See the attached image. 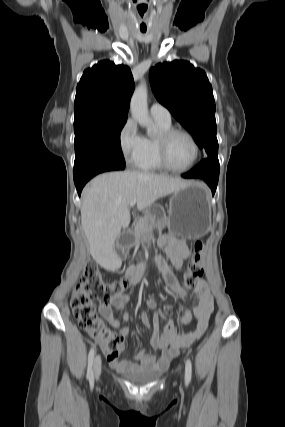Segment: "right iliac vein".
Listing matches in <instances>:
<instances>
[{"label":"right iliac vein","mask_w":285,"mask_h":427,"mask_svg":"<svg viewBox=\"0 0 285 427\" xmlns=\"http://www.w3.org/2000/svg\"><path fill=\"white\" fill-rule=\"evenodd\" d=\"M93 368H94V375H95V377L99 378V376L101 374V358H100L99 355H97L95 357Z\"/></svg>","instance_id":"63e3f726"}]
</instances>
